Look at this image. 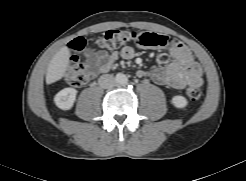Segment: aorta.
<instances>
[{"mask_svg": "<svg viewBox=\"0 0 246 181\" xmlns=\"http://www.w3.org/2000/svg\"><path fill=\"white\" fill-rule=\"evenodd\" d=\"M116 82L118 84H126L127 83V77H126V75H124L122 73H118L116 75Z\"/></svg>", "mask_w": 246, "mask_h": 181, "instance_id": "aorta-1", "label": "aorta"}]
</instances>
